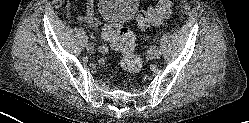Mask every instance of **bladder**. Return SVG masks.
<instances>
[{
	"instance_id": "bladder-1",
	"label": "bladder",
	"mask_w": 249,
	"mask_h": 123,
	"mask_svg": "<svg viewBox=\"0 0 249 123\" xmlns=\"http://www.w3.org/2000/svg\"><path fill=\"white\" fill-rule=\"evenodd\" d=\"M139 0H98L100 17L107 23H124L133 18Z\"/></svg>"
}]
</instances>
